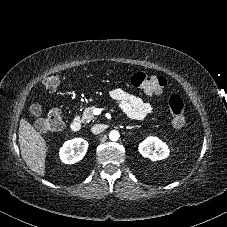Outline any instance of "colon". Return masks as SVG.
Here are the masks:
<instances>
[{"label":"colon","mask_w":227,"mask_h":227,"mask_svg":"<svg viewBox=\"0 0 227 227\" xmlns=\"http://www.w3.org/2000/svg\"><path fill=\"white\" fill-rule=\"evenodd\" d=\"M61 83V74L55 73L44 80V87L49 93H56ZM131 84L147 94L158 95L162 93L166 81L162 76L136 72L131 76ZM169 109L173 127L177 129L184 127L187 122L185 108L182 99L178 95L170 97ZM63 125V114L58 108L49 111L45 117L39 119L36 123V127L40 132H57L63 128Z\"/></svg>","instance_id":"obj_1"}]
</instances>
